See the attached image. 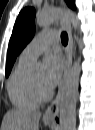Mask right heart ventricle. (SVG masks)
I'll return each instance as SVG.
<instances>
[{
    "instance_id": "e07e8e85",
    "label": "right heart ventricle",
    "mask_w": 95,
    "mask_h": 130,
    "mask_svg": "<svg viewBox=\"0 0 95 130\" xmlns=\"http://www.w3.org/2000/svg\"><path fill=\"white\" fill-rule=\"evenodd\" d=\"M29 63L19 58L7 84L9 98L18 109H35L42 102L35 93L32 79L26 74Z\"/></svg>"
}]
</instances>
